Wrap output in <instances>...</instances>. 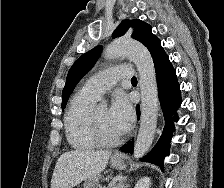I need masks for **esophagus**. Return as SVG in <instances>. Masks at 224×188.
Returning a JSON list of instances; mask_svg holds the SVG:
<instances>
[{
	"mask_svg": "<svg viewBox=\"0 0 224 188\" xmlns=\"http://www.w3.org/2000/svg\"><path fill=\"white\" fill-rule=\"evenodd\" d=\"M116 156H117V157H121V155H120V154H116Z\"/></svg>",
	"mask_w": 224,
	"mask_h": 188,
	"instance_id": "1",
	"label": "esophagus"
}]
</instances>
